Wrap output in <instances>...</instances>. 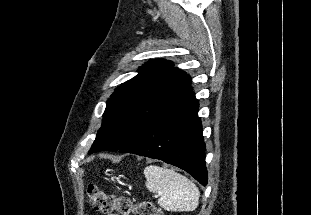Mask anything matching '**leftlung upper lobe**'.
<instances>
[{
    "instance_id": "1",
    "label": "left lung upper lobe",
    "mask_w": 311,
    "mask_h": 215,
    "mask_svg": "<svg viewBox=\"0 0 311 215\" xmlns=\"http://www.w3.org/2000/svg\"><path fill=\"white\" fill-rule=\"evenodd\" d=\"M138 72L115 89L107 101L102 127L89 154L125 147L159 110L192 83L188 74L164 59L151 60Z\"/></svg>"
}]
</instances>
